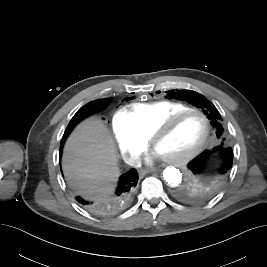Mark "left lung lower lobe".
<instances>
[{"mask_svg":"<svg viewBox=\"0 0 267 267\" xmlns=\"http://www.w3.org/2000/svg\"><path fill=\"white\" fill-rule=\"evenodd\" d=\"M214 150L201 152L188 164L190 185L183 189L187 201L205 199L224 188V179L233 168V150L226 139L216 141Z\"/></svg>","mask_w":267,"mask_h":267,"instance_id":"obj_1","label":"left lung lower lobe"}]
</instances>
